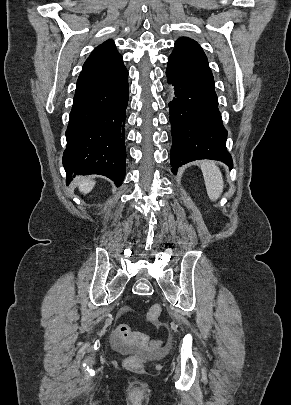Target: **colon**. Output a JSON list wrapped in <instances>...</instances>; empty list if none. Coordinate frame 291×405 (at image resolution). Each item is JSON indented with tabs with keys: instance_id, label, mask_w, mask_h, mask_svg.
I'll return each instance as SVG.
<instances>
[{
	"instance_id": "colon-1",
	"label": "colon",
	"mask_w": 291,
	"mask_h": 405,
	"mask_svg": "<svg viewBox=\"0 0 291 405\" xmlns=\"http://www.w3.org/2000/svg\"><path fill=\"white\" fill-rule=\"evenodd\" d=\"M162 313L160 305L155 304L151 306L147 313V320L150 322H156ZM113 338L119 340L127 345H136L142 349L148 350L158 346V342L151 341L146 335L133 332L130 327L126 324H119L114 332ZM143 364V358L138 355L129 356L126 359V365L128 367H139Z\"/></svg>"
}]
</instances>
